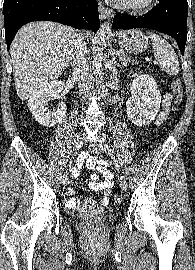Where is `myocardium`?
Here are the masks:
<instances>
[{"label": "myocardium", "mask_w": 195, "mask_h": 270, "mask_svg": "<svg viewBox=\"0 0 195 270\" xmlns=\"http://www.w3.org/2000/svg\"><path fill=\"white\" fill-rule=\"evenodd\" d=\"M117 5L123 9L130 10L133 12H145L152 8L155 0H144L139 3L129 2L127 0H115Z\"/></svg>", "instance_id": "obj_1"}]
</instances>
